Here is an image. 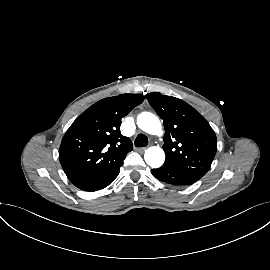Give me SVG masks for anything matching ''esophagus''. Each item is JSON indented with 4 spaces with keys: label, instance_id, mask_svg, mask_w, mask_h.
Returning a JSON list of instances; mask_svg holds the SVG:
<instances>
[{
    "label": "esophagus",
    "instance_id": "34e87169",
    "mask_svg": "<svg viewBox=\"0 0 270 270\" xmlns=\"http://www.w3.org/2000/svg\"><path fill=\"white\" fill-rule=\"evenodd\" d=\"M146 150V147L138 148L137 151L144 152Z\"/></svg>",
    "mask_w": 270,
    "mask_h": 270
}]
</instances>
